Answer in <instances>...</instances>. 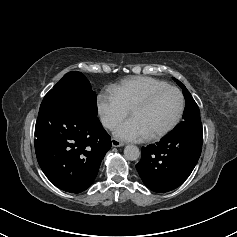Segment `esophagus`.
Here are the masks:
<instances>
[{"label": "esophagus", "instance_id": "1", "mask_svg": "<svg viewBox=\"0 0 237 237\" xmlns=\"http://www.w3.org/2000/svg\"><path fill=\"white\" fill-rule=\"evenodd\" d=\"M111 142H112V146H113V147H121V146H124V143H123V142H121V141H119L118 139H115V138H113V139L111 140Z\"/></svg>", "mask_w": 237, "mask_h": 237}]
</instances>
